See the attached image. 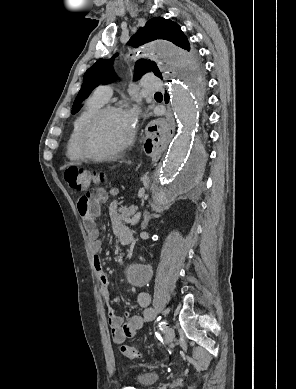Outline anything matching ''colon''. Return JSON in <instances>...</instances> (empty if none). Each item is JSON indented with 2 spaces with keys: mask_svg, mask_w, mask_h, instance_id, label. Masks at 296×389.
<instances>
[{
  "mask_svg": "<svg viewBox=\"0 0 296 389\" xmlns=\"http://www.w3.org/2000/svg\"><path fill=\"white\" fill-rule=\"evenodd\" d=\"M65 180L69 187L76 191H81L87 188L92 182L100 183L103 181V175L91 173L85 168L70 167L65 171ZM122 354L129 359H138L141 357L140 352L133 346L123 345L121 347Z\"/></svg>",
  "mask_w": 296,
  "mask_h": 389,
  "instance_id": "5ec220e1",
  "label": "colon"
}]
</instances>
